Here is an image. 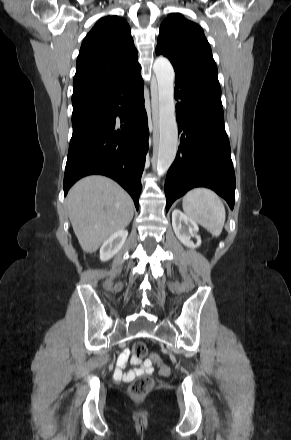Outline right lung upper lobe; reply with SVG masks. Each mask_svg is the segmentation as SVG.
<instances>
[{
  "mask_svg": "<svg viewBox=\"0 0 291 440\" xmlns=\"http://www.w3.org/2000/svg\"><path fill=\"white\" fill-rule=\"evenodd\" d=\"M140 69L128 23L116 15L103 17L82 42L74 92L115 84Z\"/></svg>",
  "mask_w": 291,
  "mask_h": 440,
  "instance_id": "obj_1",
  "label": "right lung upper lobe"
}]
</instances>
